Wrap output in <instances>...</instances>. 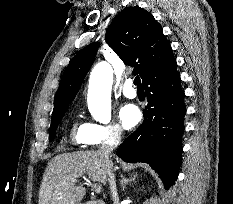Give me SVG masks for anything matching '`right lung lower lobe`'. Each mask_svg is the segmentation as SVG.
Here are the masks:
<instances>
[{"instance_id":"98d812e1","label":"right lung lower lobe","mask_w":233,"mask_h":204,"mask_svg":"<svg viewBox=\"0 0 233 204\" xmlns=\"http://www.w3.org/2000/svg\"><path fill=\"white\" fill-rule=\"evenodd\" d=\"M144 86V122L119 146L117 155L126 162L148 163L168 189L178 177L185 128V94L177 64L154 74Z\"/></svg>"}]
</instances>
